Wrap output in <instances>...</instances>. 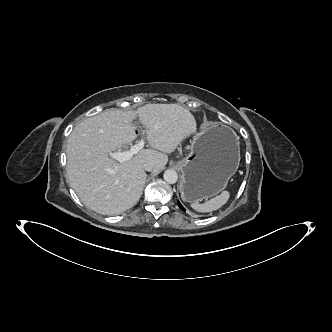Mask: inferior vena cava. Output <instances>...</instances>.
Here are the masks:
<instances>
[{"mask_svg":"<svg viewBox=\"0 0 332 332\" xmlns=\"http://www.w3.org/2000/svg\"><path fill=\"white\" fill-rule=\"evenodd\" d=\"M144 170L146 171H152L154 169V163L153 162H146L143 165Z\"/></svg>","mask_w":332,"mask_h":332,"instance_id":"602c4592","label":"inferior vena cava"}]
</instances>
